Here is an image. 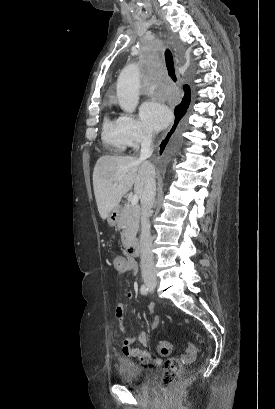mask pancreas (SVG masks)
Here are the masks:
<instances>
[{
    "label": "pancreas",
    "mask_w": 275,
    "mask_h": 409,
    "mask_svg": "<svg viewBox=\"0 0 275 409\" xmlns=\"http://www.w3.org/2000/svg\"><path fill=\"white\" fill-rule=\"evenodd\" d=\"M140 207L139 205H125L120 213L118 227H124L121 233L123 247H130L132 241L136 239L139 229Z\"/></svg>",
    "instance_id": "obj_1"
}]
</instances>
